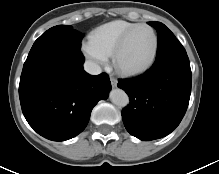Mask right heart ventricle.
<instances>
[{
	"mask_svg": "<svg viewBox=\"0 0 219 174\" xmlns=\"http://www.w3.org/2000/svg\"><path fill=\"white\" fill-rule=\"evenodd\" d=\"M138 24L121 19L104 23L90 33L89 41L110 57L124 34Z\"/></svg>",
	"mask_w": 219,
	"mask_h": 174,
	"instance_id": "e07e8e85",
	"label": "right heart ventricle"
}]
</instances>
